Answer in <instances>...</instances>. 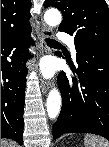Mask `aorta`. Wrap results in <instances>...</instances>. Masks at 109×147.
<instances>
[{
  "label": "aorta",
  "mask_w": 109,
  "mask_h": 147,
  "mask_svg": "<svg viewBox=\"0 0 109 147\" xmlns=\"http://www.w3.org/2000/svg\"><path fill=\"white\" fill-rule=\"evenodd\" d=\"M44 21L51 27L57 26L62 21V15L56 8L48 9L44 14ZM47 113L49 118H56L61 109V95L57 89H52L47 97Z\"/></svg>",
  "instance_id": "obj_1"
}]
</instances>
